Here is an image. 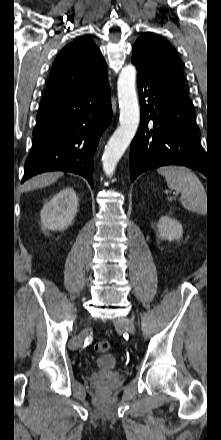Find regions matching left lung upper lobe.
<instances>
[{"label": "left lung upper lobe", "mask_w": 221, "mask_h": 440, "mask_svg": "<svg viewBox=\"0 0 221 440\" xmlns=\"http://www.w3.org/2000/svg\"><path fill=\"white\" fill-rule=\"evenodd\" d=\"M132 61L153 77L185 92L180 58L163 37L150 32L142 34L133 46Z\"/></svg>", "instance_id": "1"}]
</instances>
